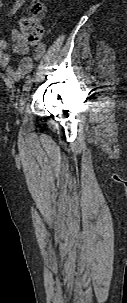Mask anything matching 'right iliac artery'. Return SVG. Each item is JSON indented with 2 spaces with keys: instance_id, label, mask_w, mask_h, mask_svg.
Masks as SVG:
<instances>
[{
  "instance_id": "right-iliac-artery-1",
  "label": "right iliac artery",
  "mask_w": 127,
  "mask_h": 303,
  "mask_svg": "<svg viewBox=\"0 0 127 303\" xmlns=\"http://www.w3.org/2000/svg\"><path fill=\"white\" fill-rule=\"evenodd\" d=\"M33 81H34V78L28 77V79H27V81H26V83L24 85V90L25 91L28 90L31 87Z\"/></svg>"
}]
</instances>
